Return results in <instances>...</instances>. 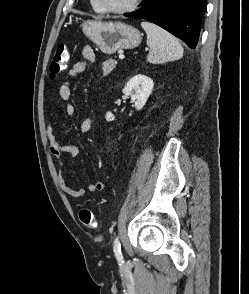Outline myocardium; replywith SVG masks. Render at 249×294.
<instances>
[{"label": "myocardium", "mask_w": 249, "mask_h": 294, "mask_svg": "<svg viewBox=\"0 0 249 294\" xmlns=\"http://www.w3.org/2000/svg\"><path fill=\"white\" fill-rule=\"evenodd\" d=\"M93 1L97 5V7L101 10V12L111 13V14H125L128 12H131L134 9H136L140 5V3L142 2V0H131L128 4H126L123 7L112 8V7L104 6L100 0H93Z\"/></svg>", "instance_id": "myocardium-1"}]
</instances>
